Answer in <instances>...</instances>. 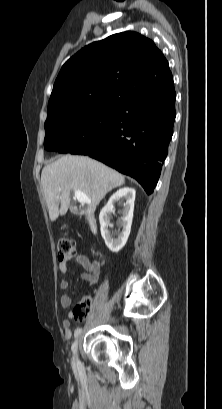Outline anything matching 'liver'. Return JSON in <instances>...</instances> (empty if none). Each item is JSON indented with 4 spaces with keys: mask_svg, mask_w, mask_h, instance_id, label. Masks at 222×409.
Segmentation results:
<instances>
[{
    "mask_svg": "<svg viewBox=\"0 0 222 409\" xmlns=\"http://www.w3.org/2000/svg\"><path fill=\"white\" fill-rule=\"evenodd\" d=\"M124 183L123 175L86 156H62L46 165L41 173V185L51 221L67 213L71 191H82L91 200L87 209L82 211L90 220L105 195Z\"/></svg>",
    "mask_w": 222,
    "mask_h": 409,
    "instance_id": "obj_1",
    "label": "liver"
}]
</instances>
